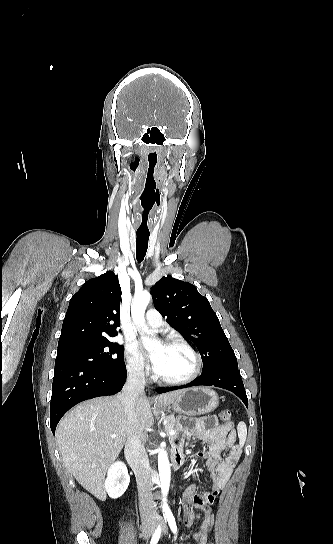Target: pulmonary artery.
Masks as SVG:
<instances>
[{"instance_id": "obj_1", "label": "pulmonary artery", "mask_w": 333, "mask_h": 544, "mask_svg": "<svg viewBox=\"0 0 333 544\" xmlns=\"http://www.w3.org/2000/svg\"><path fill=\"white\" fill-rule=\"evenodd\" d=\"M146 324L152 329H161L164 323L160 313L155 309H150L146 314Z\"/></svg>"}]
</instances>
